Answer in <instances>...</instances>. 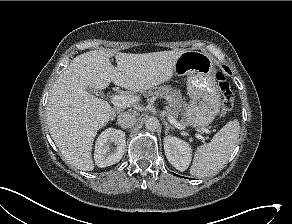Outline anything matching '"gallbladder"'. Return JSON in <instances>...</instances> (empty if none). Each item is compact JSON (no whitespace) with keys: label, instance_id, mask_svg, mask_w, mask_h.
<instances>
[{"label":"gallbladder","instance_id":"gallbladder-1","mask_svg":"<svg viewBox=\"0 0 292 224\" xmlns=\"http://www.w3.org/2000/svg\"><path fill=\"white\" fill-rule=\"evenodd\" d=\"M86 90L88 91V93H94L92 90H90L88 87H86Z\"/></svg>","mask_w":292,"mask_h":224}]
</instances>
